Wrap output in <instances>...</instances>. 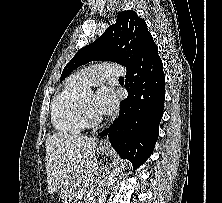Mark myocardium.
I'll return each instance as SVG.
<instances>
[{
	"label": "myocardium",
	"instance_id": "myocardium-1",
	"mask_svg": "<svg viewBox=\"0 0 222 203\" xmlns=\"http://www.w3.org/2000/svg\"><path fill=\"white\" fill-rule=\"evenodd\" d=\"M80 112L81 116L87 126H95L101 123V117H95L87 110L84 102V97L81 98L80 101Z\"/></svg>",
	"mask_w": 222,
	"mask_h": 203
}]
</instances>
